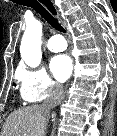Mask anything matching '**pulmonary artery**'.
I'll use <instances>...</instances> for the list:
<instances>
[{
	"instance_id": "1",
	"label": "pulmonary artery",
	"mask_w": 117,
	"mask_h": 136,
	"mask_svg": "<svg viewBox=\"0 0 117 136\" xmlns=\"http://www.w3.org/2000/svg\"><path fill=\"white\" fill-rule=\"evenodd\" d=\"M66 47H67L66 41L58 35L52 36L47 43V48L51 52H60L65 50Z\"/></svg>"
}]
</instances>
